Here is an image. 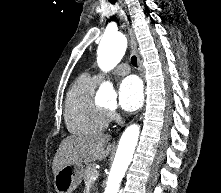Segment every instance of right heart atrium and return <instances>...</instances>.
I'll list each match as a JSON object with an SVG mask.
<instances>
[{"mask_svg":"<svg viewBox=\"0 0 221 193\" xmlns=\"http://www.w3.org/2000/svg\"><path fill=\"white\" fill-rule=\"evenodd\" d=\"M107 114H108L109 120H113V119L116 118V113H115V111H113V110H109V111L107 112Z\"/></svg>","mask_w":221,"mask_h":193,"instance_id":"obj_1","label":"right heart atrium"}]
</instances>
